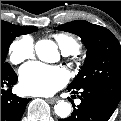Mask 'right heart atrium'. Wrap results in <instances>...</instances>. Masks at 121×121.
Here are the masks:
<instances>
[{
    "label": "right heart atrium",
    "instance_id": "1",
    "mask_svg": "<svg viewBox=\"0 0 121 121\" xmlns=\"http://www.w3.org/2000/svg\"><path fill=\"white\" fill-rule=\"evenodd\" d=\"M10 60L14 64H20L31 58L34 54V41L27 36L14 40L9 49Z\"/></svg>",
    "mask_w": 121,
    "mask_h": 121
}]
</instances>
